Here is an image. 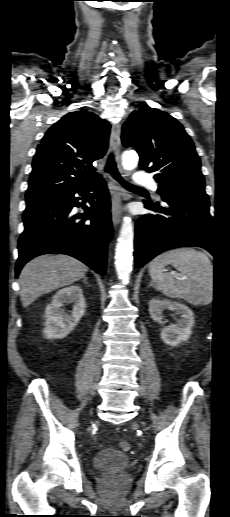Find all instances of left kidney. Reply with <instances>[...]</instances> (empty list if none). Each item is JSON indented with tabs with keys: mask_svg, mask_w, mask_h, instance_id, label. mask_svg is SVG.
I'll list each match as a JSON object with an SVG mask.
<instances>
[{
	"mask_svg": "<svg viewBox=\"0 0 230 517\" xmlns=\"http://www.w3.org/2000/svg\"><path fill=\"white\" fill-rule=\"evenodd\" d=\"M175 310L181 318L176 320V324L165 326L161 331V339L170 346H178L181 342L187 341L192 333L194 326V314L185 304L168 300L152 299L149 302V312L152 319L160 324L163 323V311Z\"/></svg>",
	"mask_w": 230,
	"mask_h": 517,
	"instance_id": "5707ae66",
	"label": "left kidney"
}]
</instances>
